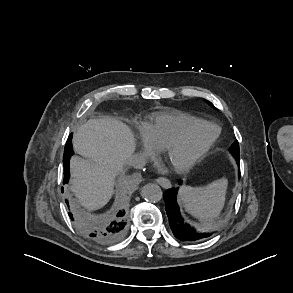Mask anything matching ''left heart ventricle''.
Returning a JSON list of instances; mask_svg holds the SVG:
<instances>
[{"label":"left heart ventricle","instance_id":"obj_1","mask_svg":"<svg viewBox=\"0 0 293 293\" xmlns=\"http://www.w3.org/2000/svg\"><path fill=\"white\" fill-rule=\"evenodd\" d=\"M213 133L209 127H199L194 129L188 139L186 146L176 153L177 158L185 157L200 147Z\"/></svg>","mask_w":293,"mask_h":293}]
</instances>
